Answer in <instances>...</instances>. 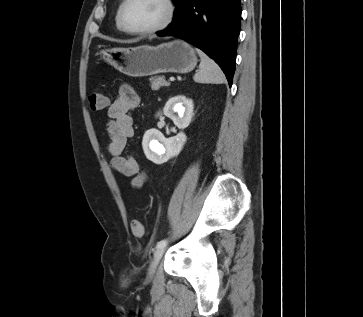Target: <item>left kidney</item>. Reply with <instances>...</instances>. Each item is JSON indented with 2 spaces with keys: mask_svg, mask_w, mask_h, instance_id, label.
I'll return each mask as SVG.
<instances>
[{
  "mask_svg": "<svg viewBox=\"0 0 363 317\" xmlns=\"http://www.w3.org/2000/svg\"><path fill=\"white\" fill-rule=\"evenodd\" d=\"M193 109L194 104L191 99L177 95L167 101L163 114L169 117L179 129H185L194 115ZM175 112L178 116L174 115ZM159 115L160 113L157 116ZM185 142L186 135L183 132L167 139L157 129H150L143 137L142 146L147 159L156 164H162L177 156Z\"/></svg>",
  "mask_w": 363,
  "mask_h": 317,
  "instance_id": "obj_1",
  "label": "left kidney"
}]
</instances>
